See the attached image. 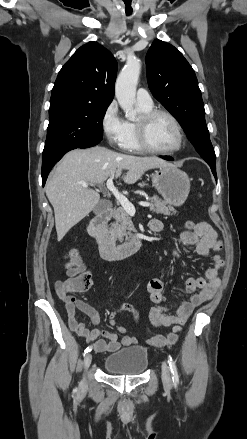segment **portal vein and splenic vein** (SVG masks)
<instances>
[{
    "instance_id": "portal-vein-and-splenic-vein-1",
    "label": "portal vein and splenic vein",
    "mask_w": 247,
    "mask_h": 439,
    "mask_svg": "<svg viewBox=\"0 0 247 439\" xmlns=\"http://www.w3.org/2000/svg\"><path fill=\"white\" fill-rule=\"evenodd\" d=\"M107 188L113 193V195L115 196V198L117 199V201L121 204V206L124 208V210L130 214V215H134L136 210L134 205L124 196L122 195L118 189L114 186L113 184V178H109L107 180ZM83 187H88L87 183H82ZM139 205L143 206V207H149L151 206L150 203L148 202H139Z\"/></svg>"
}]
</instances>
